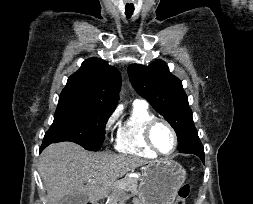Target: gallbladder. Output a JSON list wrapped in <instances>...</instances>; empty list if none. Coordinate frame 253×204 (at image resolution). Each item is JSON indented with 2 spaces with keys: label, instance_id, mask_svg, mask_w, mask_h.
I'll use <instances>...</instances> for the list:
<instances>
[{
  "label": "gallbladder",
  "instance_id": "1",
  "mask_svg": "<svg viewBox=\"0 0 253 204\" xmlns=\"http://www.w3.org/2000/svg\"><path fill=\"white\" fill-rule=\"evenodd\" d=\"M87 197L84 194H77L63 199L60 204H85Z\"/></svg>",
  "mask_w": 253,
  "mask_h": 204
}]
</instances>
